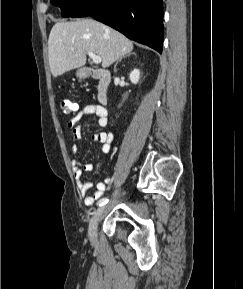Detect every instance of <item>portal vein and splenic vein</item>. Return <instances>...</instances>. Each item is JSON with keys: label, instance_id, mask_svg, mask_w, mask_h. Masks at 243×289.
Segmentation results:
<instances>
[{"label": "portal vein and splenic vein", "instance_id": "18ae733b", "mask_svg": "<svg viewBox=\"0 0 243 289\" xmlns=\"http://www.w3.org/2000/svg\"><path fill=\"white\" fill-rule=\"evenodd\" d=\"M87 53H88L89 57L92 59V61H93L95 64L101 63L102 58H101L99 55H96V54L93 53L92 51H88Z\"/></svg>", "mask_w": 243, "mask_h": 289}]
</instances>
